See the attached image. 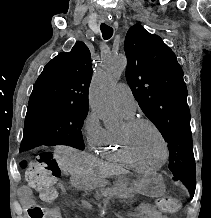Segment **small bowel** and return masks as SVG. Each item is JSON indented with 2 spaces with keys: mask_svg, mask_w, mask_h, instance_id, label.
Listing matches in <instances>:
<instances>
[{
  "mask_svg": "<svg viewBox=\"0 0 211 218\" xmlns=\"http://www.w3.org/2000/svg\"><path fill=\"white\" fill-rule=\"evenodd\" d=\"M59 189L63 191V186L59 185ZM21 201L25 206H32L34 204L33 193L29 187H22L20 190ZM84 207H88L89 204L84 203ZM50 218H62V213L58 208L49 209ZM134 215L137 218H167L159 210L152 205H141L139 206Z\"/></svg>",
  "mask_w": 211,
  "mask_h": 218,
  "instance_id": "c3829d8e",
  "label": "small bowel"
}]
</instances>
